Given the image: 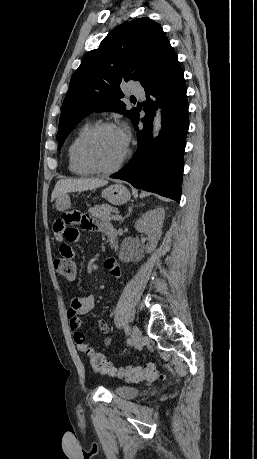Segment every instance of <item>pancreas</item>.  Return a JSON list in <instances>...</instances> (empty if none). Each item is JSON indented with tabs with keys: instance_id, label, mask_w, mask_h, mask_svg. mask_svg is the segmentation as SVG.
<instances>
[{
	"instance_id": "pancreas-1",
	"label": "pancreas",
	"mask_w": 257,
	"mask_h": 459,
	"mask_svg": "<svg viewBox=\"0 0 257 459\" xmlns=\"http://www.w3.org/2000/svg\"><path fill=\"white\" fill-rule=\"evenodd\" d=\"M116 212L117 210L108 204L96 205L89 209V214L91 216L103 221H111L113 219L112 213Z\"/></svg>"
}]
</instances>
